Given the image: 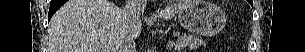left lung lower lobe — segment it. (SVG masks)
Returning <instances> with one entry per match:
<instances>
[{
    "instance_id": "0a47b994",
    "label": "left lung lower lobe",
    "mask_w": 305,
    "mask_h": 52,
    "mask_svg": "<svg viewBox=\"0 0 305 52\" xmlns=\"http://www.w3.org/2000/svg\"><path fill=\"white\" fill-rule=\"evenodd\" d=\"M248 2H249L250 4H253V2H252L251 0H248Z\"/></svg>"
}]
</instances>
